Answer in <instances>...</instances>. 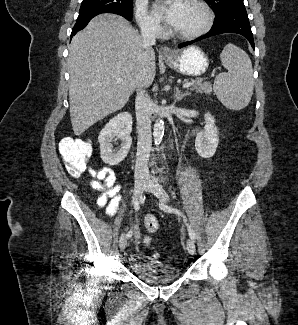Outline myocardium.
<instances>
[{
	"instance_id": "f54148a6",
	"label": "myocardium",
	"mask_w": 298,
	"mask_h": 325,
	"mask_svg": "<svg viewBox=\"0 0 298 325\" xmlns=\"http://www.w3.org/2000/svg\"><path fill=\"white\" fill-rule=\"evenodd\" d=\"M192 3L200 12L202 16V23L201 25L192 32L187 33H176L171 28L168 29V35H170L173 38L181 39V40H193L200 36H202L204 33L208 31L211 25V16L208 8L201 3L199 0H186Z\"/></svg>"
}]
</instances>
